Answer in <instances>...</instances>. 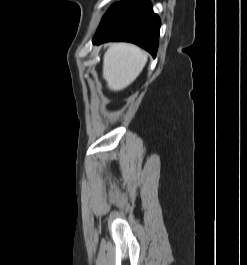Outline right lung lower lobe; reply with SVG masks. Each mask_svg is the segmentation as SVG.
<instances>
[{
	"mask_svg": "<svg viewBox=\"0 0 247 265\" xmlns=\"http://www.w3.org/2000/svg\"><path fill=\"white\" fill-rule=\"evenodd\" d=\"M160 19L147 0H126L113 5L103 17L94 44L128 41L149 51L154 57L158 48Z\"/></svg>",
	"mask_w": 247,
	"mask_h": 265,
	"instance_id": "98d812e1",
	"label": "right lung lower lobe"
}]
</instances>
